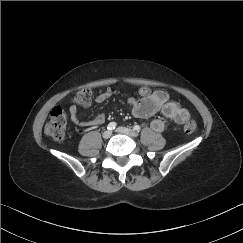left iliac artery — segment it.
<instances>
[{"label": "left iliac artery", "mask_w": 243, "mask_h": 243, "mask_svg": "<svg viewBox=\"0 0 243 243\" xmlns=\"http://www.w3.org/2000/svg\"><path fill=\"white\" fill-rule=\"evenodd\" d=\"M135 131L139 132L141 127L139 125H135L134 128H133Z\"/></svg>", "instance_id": "44dca946"}]
</instances>
